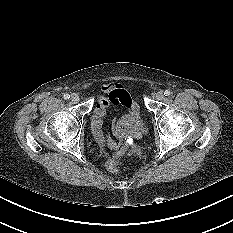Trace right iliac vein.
<instances>
[{
    "mask_svg": "<svg viewBox=\"0 0 233 233\" xmlns=\"http://www.w3.org/2000/svg\"><path fill=\"white\" fill-rule=\"evenodd\" d=\"M70 100H71L72 102H74V103H77V102H79L80 97H79L78 94L73 93V94H71V99H70Z\"/></svg>",
    "mask_w": 233,
    "mask_h": 233,
    "instance_id": "1",
    "label": "right iliac vein"
}]
</instances>
